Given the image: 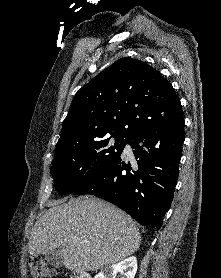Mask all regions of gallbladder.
Returning <instances> with one entry per match:
<instances>
[{
  "instance_id": "1",
  "label": "gallbladder",
  "mask_w": 221,
  "mask_h": 278,
  "mask_svg": "<svg viewBox=\"0 0 221 278\" xmlns=\"http://www.w3.org/2000/svg\"><path fill=\"white\" fill-rule=\"evenodd\" d=\"M44 257L47 263L53 267L59 268L63 265V259L60 255L59 249L46 253Z\"/></svg>"
}]
</instances>
